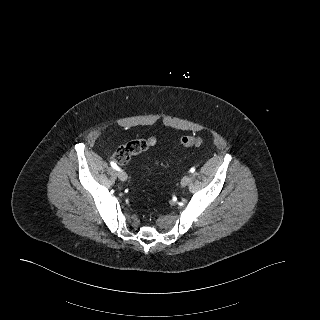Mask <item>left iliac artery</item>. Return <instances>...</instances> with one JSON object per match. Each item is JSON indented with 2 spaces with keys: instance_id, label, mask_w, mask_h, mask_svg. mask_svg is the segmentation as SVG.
<instances>
[{
  "instance_id": "left-iliac-artery-1",
  "label": "left iliac artery",
  "mask_w": 320,
  "mask_h": 320,
  "mask_svg": "<svg viewBox=\"0 0 320 320\" xmlns=\"http://www.w3.org/2000/svg\"><path fill=\"white\" fill-rule=\"evenodd\" d=\"M195 171V168H191L190 172L193 173Z\"/></svg>"
}]
</instances>
